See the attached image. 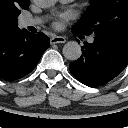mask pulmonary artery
I'll list each match as a JSON object with an SVG mask.
<instances>
[{
	"label": "pulmonary artery",
	"mask_w": 128,
	"mask_h": 128,
	"mask_svg": "<svg viewBox=\"0 0 128 128\" xmlns=\"http://www.w3.org/2000/svg\"><path fill=\"white\" fill-rule=\"evenodd\" d=\"M63 3H70V2H72V1H74V0H61ZM40 23H42V19H40V18H23L22 20H21V26L22 27H29V26H35V25H38V24H40ZM93 37H90L89 38V42H93Z\"/></svg>",
	"instance_id": "obj_1"
}]
</instances>
